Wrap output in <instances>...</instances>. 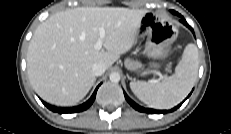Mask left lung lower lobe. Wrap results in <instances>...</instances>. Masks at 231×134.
I'll use <instances>...</instances> for the list:
<instances>
[{"label": "left lung lower lobe", "instance_id": "obj_1", "mask_svg": "<svg viewBox=\"0 0 231 134\" xmlns=\"http://www.w3.org/2000/svg\"><path fill=\"white\" fill-rule=\"evenodd\" d=\"M176 14L178 15V16H180L181 17V22L184 24V25H186L192 32H193V29L187 24V22H186V20L183 18V16H181L180 14H178L177 12H176ZM194 33V32H193ZM124 96H125V98H126V100L128 101V103L133 107V108H135L136 110H138V111H140V112H146V113H149V114H160V113H162V114H165V113H168V112H172V111H174V110H176L177 108H179L180 106H181V104L183 103H181V104H179L178 106H176V107H174L173 109H171V110H154V109H149V108H144V107H141V106H139L138 104H136L135 102H133L127 95H126V93L124 92ZM190 96V95H189ZM188 96V97H189Z\"/></svg>", "mask_w": 231, "mask_h": 134}]
</instances>
